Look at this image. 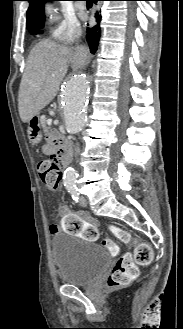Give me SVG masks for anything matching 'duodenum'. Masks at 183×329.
Here are the masks:
<instances>
[{"label": "duodenum", "mask_w": 183, "mask_h": 329, "mask_svg": "<svg viewBox=\"0 0 183 329\" xmlns=\"http://www.w3.org/2000/svg\"><path fill=\"white\" fill-rule=\"evenodd\" d=\"M69 145L68 143L61 139V143L58 146L57 154L59 155V160L62 167H65L68 164L69 160Z\"/></svg>", "instance_id": "duodenum-1"}]
</instances>
